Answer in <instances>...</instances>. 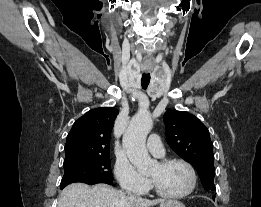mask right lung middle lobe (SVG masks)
<instances>
[{"label":"right lung middle lobe","mask_w":261,"mask_h":207,"mask_svg":"<svg viewBox=\"0 0 261 207\" xmlns=\"http://www.w3.org/2000/svg\"><path fill=\"white\" fill-rule=\"evenodd\" d=\"M63 166L61 188L74 182L113 181L109 155L64 161Z\"/></svg>","instance_id":"1"}]
</instances>
